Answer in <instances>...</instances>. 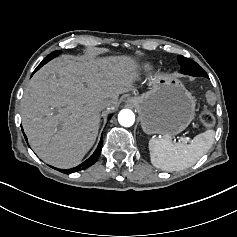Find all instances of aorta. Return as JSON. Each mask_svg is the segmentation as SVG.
<instances>
[{"label": "aorta", "mask_w": 237, "mask_h": 237, "mask_svg": "<svg viewBox=\"0 0 237 237\" xmlns=\"http://www.w3.org/2000/svg\"><path fill=\"white\" fill-rule=\"evenodd\" d=\"M118 122L123 127H131L135 123V115L131 110H122L118 115Z\"/></svg>", "instance_id": "aorta-1"}]
</instances>
